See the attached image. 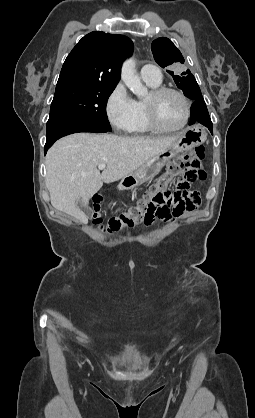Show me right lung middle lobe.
Instances as JSON below:
<instances>
[{"label": "right lung middle lobe", "instance_id": "dd1d6c3e", "mask_svg": "<svg viewBox=\"0 0 255 418\" xmlns=\"http://www.w3.org/2000/svg\"><path fill=\"white\" fill-rule=\"evenodd\" d=\"M115 86L63 83L56 86L48 121L75 119L100 125L111 131L106 104Z\"/></svg>", "mask_w": 255, "mask_h": 418}]
</instances>
